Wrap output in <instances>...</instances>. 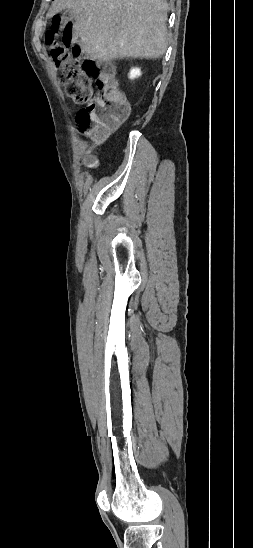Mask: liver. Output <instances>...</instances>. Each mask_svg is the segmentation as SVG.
<instances>
[{
	"label": "liver",
	"mask_w": 253,
	"mask_h": 548,
	"mask_svg": "<svg viewBox=\"0 0 253 548\" xmlns=\"http://www.w3.org/2000/svg\"><path fill=\"white\" fill-rule=\"evenodd\" d=\"M166 0H54L49 16L72 11L74 37L94 59L159 58L167 49Z\"/></svg>",
	"instance_id": "6515ba94"
}]
</instances>
